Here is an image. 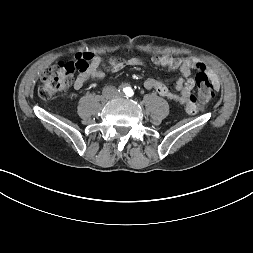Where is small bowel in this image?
Segmentation results:
<instances>
[{"label":"small bowel","instance_id":"small-bowel-1","mask_svg":"<svg viewBox=\"0 0 253 253\" xmlns=\"http://www.w3.org/2000/svg\"><path fill=\"white\" fill-rule=\"evenodd\" d=\"M152 63L171 70H179L181 77L175 82L176 93L171 91L165 83L156 78H148L145 80L144 87L147 90L155 91L166 99L185 103V112L188 115H195L202 109L203 104L198 99V95L192 92L194 81L189 78L192 69H197V64H199L197 60L193 58L163 55L152 57ZM141 65H143V62L138 57H130L127 59L113 58L109 61L107 69L111 72H118L127 66L134 67ZM104 76L105 70L102 57L99 55H92L87 71L78 75L75 79L74 88L80 90L88 79H102ZM215 86L217 87V83H215Z\"/></svg>","mask_w":253,"mask_h":253}]
</instances>
